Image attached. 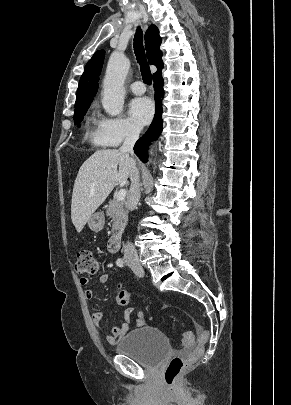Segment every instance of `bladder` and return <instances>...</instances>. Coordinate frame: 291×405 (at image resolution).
Returning <instances> with one entry per match:
<instances>
[{
  "label": "bladder",
  "instance_id": "obj_1",
  "mask_svg": "<svg viewBox=\"0 0 291 405\" xmlns=\"http://www.w3.org/2000/svg\"><path fill=\"white\" fill-rule=\"evenodd\" d=\"M117 353L144 368L154 369L170 352L167 336L158 328L142 326L130 331L116 345Z\"/></svg>",
  "mask_w": 291,
  "mask_h": 405
}]
</instances>
